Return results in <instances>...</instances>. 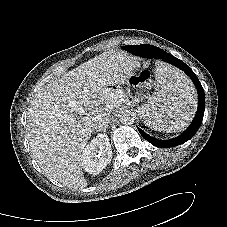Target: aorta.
Here are the masks:
<instances>
[{
    "mask_svg": "<svg viewBox=\"0 0 227 227\" xmlns=\"http://www.w3.org/2000/svg\"><path fill=\"white\" fill-rule=\"evenodd\" d=\"M135 118V113L131 110H123L119 114V121L125 125L133 124Z\"/></svg>",
    "mask_w": 227,
    "mask_h": 227,
    "instance_id": "1",
    "label": "aorta"
}]
</instances>
